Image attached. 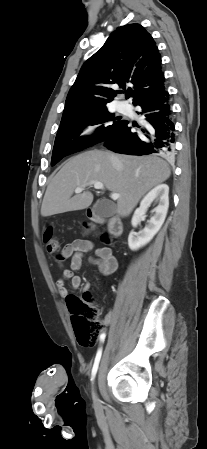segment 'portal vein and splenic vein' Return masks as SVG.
Here are the masks:
<instances>
[{"label":"portal vein and splenic vein","mask_w":207,"mask_h":449,"mask_svg":"<svg viewBox=\"0 0 207 449\" xmlns=\"http://www.w3.org/2000/svg\"><path fill=\"white\" fill-rule=\"evenodd\" d=\"M88 185H90V186L93 185L94 188L97 189V190H102V189H104L103 183H101V182H99V181H91V182L88 183ZM84 187H85V185L77 187V188L75 189V193H81V192L84 190ZM119 197H120V195L117 194V193H112V194H111V198H112L113 200H117Z\"/></svg>","instance_id":"obj_1"}]
</instances>
